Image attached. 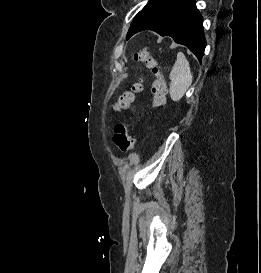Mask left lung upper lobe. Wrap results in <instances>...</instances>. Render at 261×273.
<instances>
[{"label": "left lung upper lobe", "mask_w": 261, "mask_h": 273, "mask_svg": "<svg viewBox=\"0 0 261 273\" xmlns=\"http://www.w3.org/2000/svg\"><path fill=\"white\" fill-rule=\"evenodd\" d=\"M166 0H150L145 7L135 16V18L133 19L132 24L144 13H146L148 10H150L151 8L155 7L156 5L165 2ZM131 24V25H132Z\"/></svg>", "instance_id": "5c2ea615"}]
</instances>
